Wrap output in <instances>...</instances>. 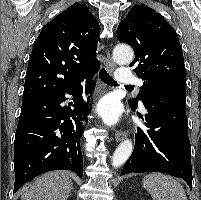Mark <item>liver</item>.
<instances>
[{"label": "liver", "mask_w": 201, "mask_h": 200, "mask_svg": "<svg viewBox=\"0 0 201 200\" xmlns=\"http://www.w3.org/2000/svg\"><path fill=\"white\" fill-rule=\"evenodd\" d=\"M72 185L71 179L64 172H48L35 180L21 200H67Z\"/></svg>", "instance_id": "6515ba94"}]
</instances>
